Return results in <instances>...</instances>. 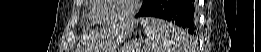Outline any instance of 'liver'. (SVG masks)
<instances>
[{"instance_id": "obj_1", "label": "liver", "mask_w": 261, "mask_h": 52, "mask_svg": "<svg viewBox=\"0 0 261 52\" xmlns=\"http://www.w3.org/2000/svg\"><path fill=\"white\" fill-rule=\"evenodd\" d=\"M129 31H130V29H129V28H127V29L125 30V32H126V33H128Z\"/></svg>"}]
</instances>
